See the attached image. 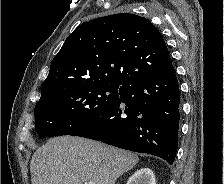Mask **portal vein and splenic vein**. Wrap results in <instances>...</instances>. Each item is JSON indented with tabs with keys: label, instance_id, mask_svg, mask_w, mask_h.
<instances>
[{
	"label": "portal vein and splenic vein",
	"instance_id": "18ae733b",
	"mask_svg": "<svg viewBox=\"0 0 224 184\" xmlns=\"http://www.w3.org/2000/svg\"><path fill=\"white\" fill-rule=\"evenodd\" d=\"M85 184H95V183L92 182V181H89V182H87V183H85Z\"/></svg>",
	"mask_w": 224,
	"mask_h": 184
}]
</instances>
